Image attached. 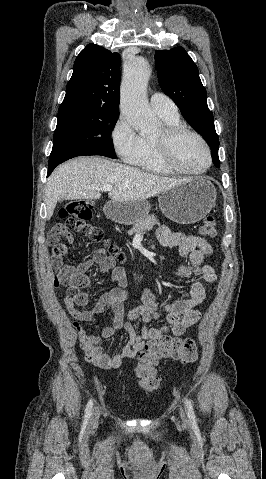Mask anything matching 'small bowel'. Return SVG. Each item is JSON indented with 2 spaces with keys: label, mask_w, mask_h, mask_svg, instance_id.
I'll return each mask as SVG.
<instances>
[{
  "label": "small bowel",
  "mask_w": 266,
  "mask_h": 479,
  "mask_svg": "<svg viewBox=\"0 0 266 479\" xmlns=\"http://www.w3.org/2000/svg\"><path fill=\"white\" fill-rule=\"evenodd\" d=\"M61 236L68 243L75 241L74 235L69 231L63 232ZM157 238L161 245L169 248L178 247L180 255L190 259V264H182L177 268L176 276L194 277L189 285L188 298L169 302L163 306L165 324L158 327L146 326L150 321L161 317L155 296L147 288L141 295L142 305L125 313L123 301L129 294L127 275L124 269L116 267L114 259L107 256L101 249L95 250L91 258L76 266L63 264L62 257H56L54 260V283L67 288L63 303L74 321L73 326L77 332L80 348L86 360L99 368H117L124 360L135 358L147 342L158 340L168 334L182 336L201 319V313L196 307L203 302L206 292L200 278L207 283L216 280L215 270L206 264L212 253L210 244L200 236L174 232L167 226H161L158 229ZM94 264L99 266L101 272L109 273L111 281L118 287L103 293L92 309L81 310L79 307L90 304V297L86 292L90 286V280L86 271ZM106 309L112 312L110 324L100 333L88 332L85 325L92 323L95 317ZM136 319L143 321L142 328H137L133 324ZM119 330L129 335L127 344L118 353L105 352L101 346L102 342L113 337Z\"/></svg>",
  "instance_id": "c3829d8e"
}]
</instances>
